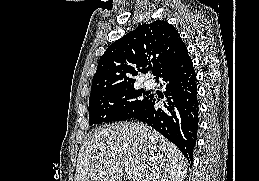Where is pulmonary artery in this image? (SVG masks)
I'll use <instances>...</instances> for the list:
<instances>
[{"label":"pulmonary artery","instance_id":"obj_1","mask_svg":"<svg viewBox=\"0 0 259 181\" xmlns=\"http://www.w3.org/2000/svg\"><path fill=\"white\" fill-rule=\"evenodd\" d=\"M144 85H145L146 87H149V86L151 85V83H150L149 81H145V82H144Z\"/></svg>","mask_w":259,"mask_h":181}]
</instances>
